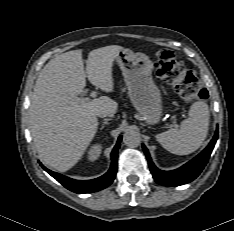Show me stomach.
<instances>
[{
  "label": "stomach",
  "instance_id": "stomach-1",
  "mask_svg": "<svg viewBox=\"0 0 234 231\" xmlns=\"http://www.w3.org/2000/svg\"><path fill=\"white\" fill-rule=\"evenodd\" d=\"M116 62L122 70L128 96L135 110L148 124H156L163 115L162 96L153 81V64L149 57L130 49L121 50Z\"/></svg>",
  "mask_w": 234,
  "mask_h": 231
}]
</instances>
